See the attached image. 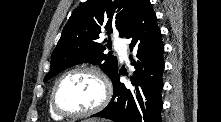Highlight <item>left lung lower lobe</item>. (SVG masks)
<instances>
[{
    "label": "left lung lower lobe",
    "mask_w": 221,
    "mask_h": 122,
    "mask_svg": "<svg viewBox=\"0 0 221 122\" xmlns=\"http://www.w3.org/2000/svg\"><path fill=\"white\" fill-rule=\"evenodd\" d=\"M130 39V51L137 52L132 65L133 89L120 82L118 71L111 79L114 95L107 107L92 117H103L115 122H161L164 70L161 32L149 0H139L132 23L125 35ZM132 59V57H130Z\"/></svg>",
    "instance_id": "obj_1"
}]
</instances>
